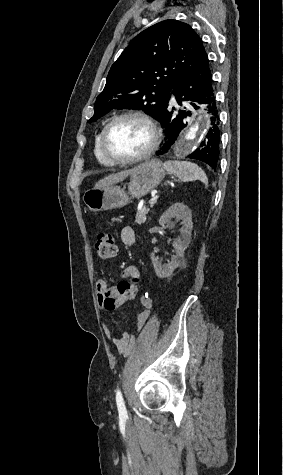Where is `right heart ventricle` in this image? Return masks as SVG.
<instances>
[{
  "label": "right heart ventricle",
  "instance_id": "1",
  "mask_svg": "<svg viewBox=\"0 0 283 475\" xmlns=\"http://www.w3.org/2000/svg\"><path fill=\"white\" fill-rule=\"evenodd\" d=\"M103 128H101L97 134L94 137V142H93V154L98 162H108L100 152V147H99V140H100V135L102 132ZM189 178V177H187Z\"/></svg>",
  "mask_w": 283,
  "mask_h": 475
}]
</instances>
